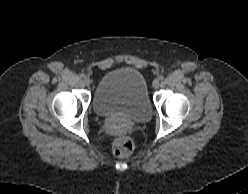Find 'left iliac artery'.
Masks as SVG:
<instances>
[{"label":"left iliac artery","mask_w":248,"mask_h":194,"mask_svg":"<svg viewBox=\"0 0 248 194\" xmlns=\"http://www.w3.org/2000/svg\"><path fill=\"white\" fill-rule=\"evenodd\" d=\"M164 79V77L161 75V76H159V80H163Z\"/></svg>","instance_id":"left-iliac-artery-1"}]
</instances>
